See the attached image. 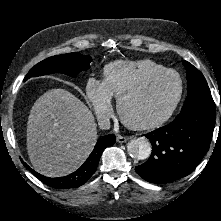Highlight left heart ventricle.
<instances>
[{"label": "left heart ventricle", "mask_w": 221, "mask_h": 221, "mask_svg": "<svg viewBox=\"0 0 221 221\" xmlns=\"http://www.w3.org/2000/svg\"><path fill=\"white\" fill-rule=\"evenodd\" d=\"M179 89L176 76L164 75L153 81L144 91L129 99L125 113L133 121L143 122L163 114L174 101Z\"/></svg>", "instance_id": "obj_1"}]
</instances>
